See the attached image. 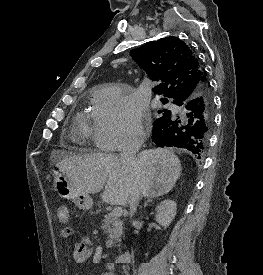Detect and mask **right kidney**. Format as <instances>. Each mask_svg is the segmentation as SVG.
<instances>
[{"mask_svg":"<svg viewBox=\"0 0 263 275\" xmlns=\"http://www.w3.org/2000/svg\"><path fill=\"white\" fill-rule=\"evenodd\" d=\"M155 219L162 227L167 228L176 216L177 205L173 200L167 199L160 202L155 208Z\"/></svg>","mask_w":263,"mask_h":275,"instance_id":"ca27d5eb","label":"right kidney"}]
</instances>
